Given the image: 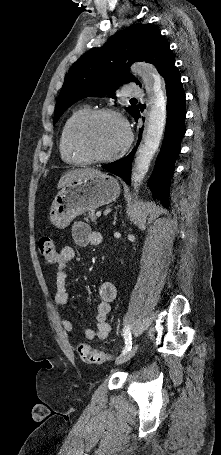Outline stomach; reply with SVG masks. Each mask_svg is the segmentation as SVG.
Masks as SVG:
<instances>
[{"instance_id": "stomach-1", "label": "stomach", "mask_w": 221, "mask_h": 455, "mask_svg": "<svg viewBox=\"0 0 221 455\" xmlns=\"http://www.w3.org/2000/svg\"><path fill=\"white\" fill-rule=\"evenodd\" d=\"M119 194L120 184L110 175L76 179L56 195L50 209V221L55 227L64 229L76 216L113 202Z\"/></svg>"}]
</instances>
